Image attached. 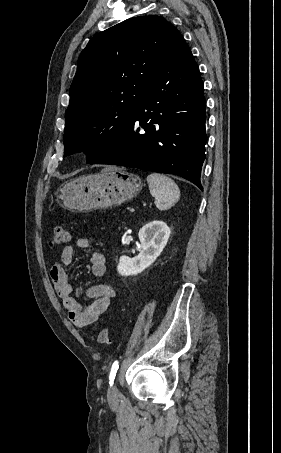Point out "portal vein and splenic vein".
<instances>
[{"mask_svg": "<svg viewBox=\"0 0 281 453\" xmlns=\"http://www.w3.org/2000/svg\"><path fill=\"white\" fill-rule=\"evenodd\" d=\"M135 208L134 207H129V212H134Z\"/></svg>", "mask_w": 281, "mask_h": 453, "instance_id": "18ae733b", "label": "portal vein and splenic vein"}]
</instances>
